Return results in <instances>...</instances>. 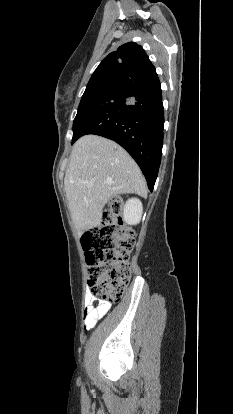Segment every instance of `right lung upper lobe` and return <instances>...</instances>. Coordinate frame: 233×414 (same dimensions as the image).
<instances>
[{"label": "right lung upper lobe", "instance_id": "obj_1", "mask_svg": "<svg viewBox=\"0 0 233 414\" xmlns=\"http://www.w3.org/2000/svg\"><path fill=\"white\" fill-rule=\"evenodd\" d=\"M156 74L141 46L130 42L110 53L97 67L90 81L105 77L119 76L129 80H138Z\"/></svg>", "mask_w": 233, "mask_h": 414}]
</instances>
